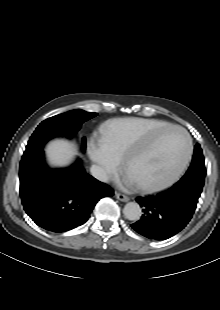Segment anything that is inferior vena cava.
Listing matches in <instances>:
<instances>
[{"instance_id": "inferior-vena-cava-1", "label": "inferior vena cava", "mask_w": 220, "mask_h": 310, "mask_svg": "<svg viewBox=\"0 0 220 310\" xmlns=\"http://www.w3.org/2000/svg\"><path fill=\"white\" fill-rule=\"evenodd\" d=\"M91 175L99 181L107 182L109 180L108 173L98 165H92L90 168Z\"/></svg>"}]
</instances>
